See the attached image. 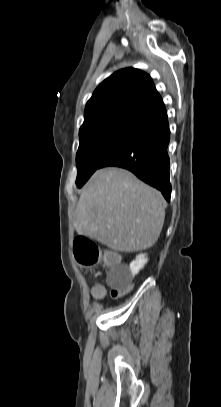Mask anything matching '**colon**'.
Listing matches in <instances>:
<instances>
[{"label": "colon", "instance_id": "1", "mask_svg": "<svg viewBox=\"0 0 221 407\" xmlns=\"http://www.w3.org/2000/svg\"><path fill=\"white\" fill-rule=\"evenodd\" d=\"M74 254L78 263L87 267L96 265L100 260V252L97 245L84 237H78L75 239ZM103 259L106 268H109V266H113L114 261H121L122 254L121 252H104ZM127 292L128 291H113V296L118 297ZM93 293L96 297H102L104 289L101 287H95Z\"/></svg>", "mask_w": 221, "mask_h": 407}]
</instances>
